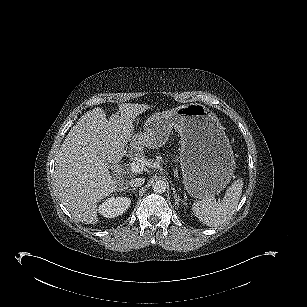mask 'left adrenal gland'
<instances>
[{"label": "left adrenal gland", "mask_w": 307, "mask_h": 307, "mask_svg": "<svg viewBox=\"0 0 307 307\" xmlns=\"http://www.w3.org/2000/svg\"><path fill=\"white\" fill-rule=\"evenodd\" d=\"M172 190H173V195H174V199H175V204H176L177 206L180 205L179 202L185 204V202H184L182 199H180L179 196L177 195L175 188H172Z\"/></svg>", "instance_id": "1"}]
</instances>
